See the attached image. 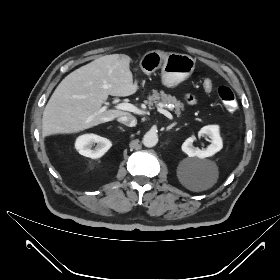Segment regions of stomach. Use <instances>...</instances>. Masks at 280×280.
Listing matches in <instances>:
<instances>
[{"mask_svg":"<svg viewBox=\"0 0 280 280\" xmlns=\"http://www.w3.org/2000/svg\"><path fill=\"white\" fill-rule=\"evenodd\" d=\"M195 64L196 61L187 54L152 50L142 57L140 68L146 74L161 68L162 84L167 88H175L191 76Z\"/></svg>","mask_w":280,"mask_h":280,"instance_id":"1","label":"stomach"}]
</instances>
